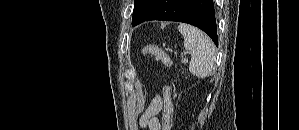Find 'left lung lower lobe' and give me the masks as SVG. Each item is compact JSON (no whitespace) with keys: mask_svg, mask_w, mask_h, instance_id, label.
Instances as JSON below:
<instances>
[{"mask_svg":"<svg viewBox=\"0 0 299 130\" xmlns=\"http://www.w3.org/2000/svg\"><path fill=\"white\" fill-rule=\"evenodd\" d=\"M148 20L192 24L206 32L218 46L213 0H149L147 15L133 25Z\"/></svg>","mask_w":299,"mask_h":130,"instance_id":"0a47b994","label":"left lung lower lobe"}]
</instances>
